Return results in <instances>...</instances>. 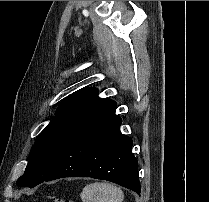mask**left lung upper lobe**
Listing matches in <instances>:
<instances>
[{
	"mask_svg": "<svg viewBox=\"0 0 209 202\" xmlns=\"http://www.w3.org/2000/svg\"><path fill=\"white\" fill-rule=\"evenodd\" d=\"M111 101L99 98L96 88H83L69 95L58 107L57 116L37 137L32 155L17 185L32 188L42 183L52 172L76 130Z\"/></svg>",
	"mask_w": 209,
	"mask_h": 202,
	"instance_id": "1",
	"label": "left lung upper lobe"
}]
</instances>
